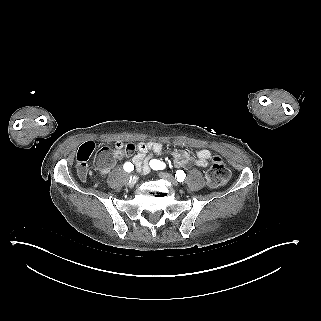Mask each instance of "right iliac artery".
<instances>
[{"instance_id": "1", "label": "right iliac artery", "mask_w": 321, "mask_h": 321, "mask_svg": "<svg viewBox=\"0 0 321 321\" xmlns=\"http://www.w3.org/2000/svg\"><path fill=\"white\" fill-rule=\"evenodd\" d=\"M133 169H134V165L131 162H126L124 164V170L126 172H131V171H133Z\"/></svg>"}]
</instances>
